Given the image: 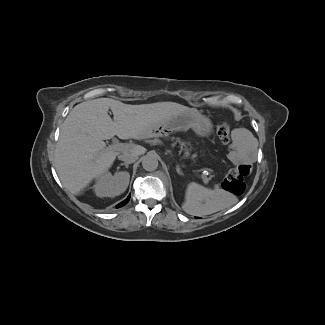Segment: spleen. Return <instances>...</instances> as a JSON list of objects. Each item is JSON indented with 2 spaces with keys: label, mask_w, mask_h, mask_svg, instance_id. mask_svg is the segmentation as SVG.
Wrapping results in <instances>:
<instances>
[{
  "label": "spleen",
  "mask_w": 325,
  "mask_h": 325,
  "mask_svg": "<svg viewBox=\"0 0 325 325\" xmlns=\"http://www.w3.org/2000/svg\"><path fill=\"white\" fill-rule=\"evenodd\" d=\"M233 204L229 193L223 190H210L195 182L188 184L183 210L194 216L209 215Z\"/></svg>",
  "instance_id": "3e777b00"
}]
</instances>
